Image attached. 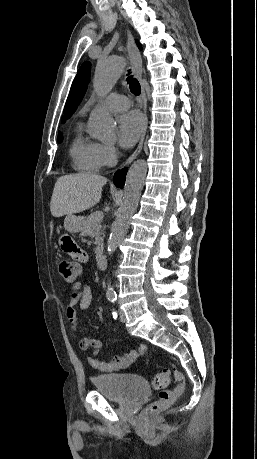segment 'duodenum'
I'll use <instances>...</instances> for the list:
<instances>
[{
	"label": "duodenum",
	"instance_id": "obj_1",
	"mask_svg": "<svg viewBox=\"0 0 257 459\" xmlns=\"http://www.w3.org/2000/svg\"><path fill=\"white\" fill-rule=\"evenodd\" d=\"M96 265L98 269H103L106 266V257L102 252H99L96 256Z\"/></svg>",
	"mask_w": 257,
	"mask_h": 459
}]
</instances>
